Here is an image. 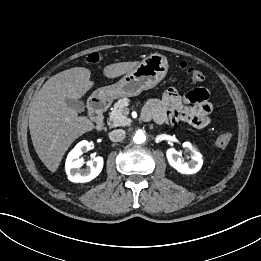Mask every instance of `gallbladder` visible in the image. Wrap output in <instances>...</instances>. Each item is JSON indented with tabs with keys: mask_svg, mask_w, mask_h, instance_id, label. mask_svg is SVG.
I'll return each instance as SVG.
<instances>
[{
	"mask_svg": "<svg viewBox=\"0 0 261 261\" xmlns=\"http://www.w3.org/2000/svg\"><path fill=\"white\" fill-rule=\"evenodd\" d=\"M65 102L70 108L74 109L79 113L85 110V105L80 100L66 98Z\"/></svg>",
	"mask_w": 261,
	"mask_h": 261,
	"instance_id": "obj_1",
	"label": "gallbladder"
}]
</instances>
